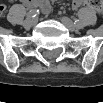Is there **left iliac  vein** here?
Masks as SVG:
<instances>
[{
	"label": "left iliac vein",
	"mask_w": 103,
	"mask_h": 103,
	"mask_svg": "<svg viewBox=\"0 0 103 103\" xmlns=\"http://www.w3.org/2000/svg\"><path fill=\"white\" fill-rule=\"evenodd\" d=\"M61 22L71 32L77 29L75 24L68 17H65V16L61 17Z\"/></svg>",
	"instance_id": "obj_1"
}]
</instances>
